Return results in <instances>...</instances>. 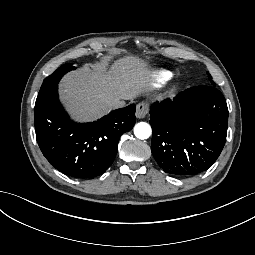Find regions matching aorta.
<instances>
[{"label":"aorta","mask_w":255,"mask_h":255,"mask_svg":"<svg viewBox=\"0 0 255 255\" xmlns=\"http://www.w3.org/2000/svg\"><path fill=\"white\" fill-rule=\"evenodd\" d=\"M134 134L138 139H147L151 135V127L145 122L137 123L134 127Z\"/></svg>","instance_id":"aorta-1"}]
</instances>
